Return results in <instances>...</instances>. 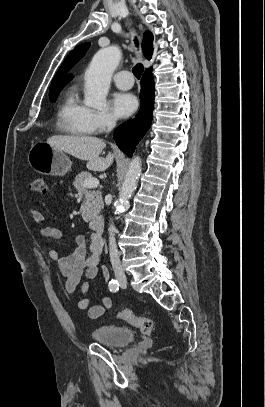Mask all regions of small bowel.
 Here are the masks:
<instances>
[{"label":"small bowel","instance_id":"small-bowel-1","mask_svg":"<svg viewBox=\"0 0 265 407\" xmlns=\"http://www.w3.org/2000/svg\"><path fill=\"white\" fill-rule=\"evenodd\" d=\"M28 213L38 225H41L40 232L44 237L54 240L61 238L62 233L57 227L42 226L44 217L39 211L28 208ZM89 241V255L87 254L86 237L77 235L74 238V248L70 254L60 256L56 250H50L49 257L57 262L58 269L65 276L66 292L73 294L80 288L82 296L77 301V308L88 310V317L95 320L112 307V300L108 296H103L100 304L89 306V299L86 297L89 280L95 279L99 275H102L106 281L110 279L109 272L99 265L101 254L99 237L91 236Z\"/></svg>","mask_w":265,"mask_h":407}]
</instances>
